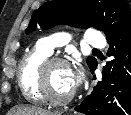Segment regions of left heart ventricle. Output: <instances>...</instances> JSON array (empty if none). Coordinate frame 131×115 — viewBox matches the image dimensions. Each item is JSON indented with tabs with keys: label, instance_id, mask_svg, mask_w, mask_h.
<instances>
[{
	"label": "left heart ventricle",
	"instance_id": "obj_1",
	"mask_svg": "<svg viewBox=\"0 0 131 115\" xmlns=\"http://www.w3.org/2000/svg\"><path fill=\"white\" fill-rule=\"evenodd\" d=\"M47 85L54 97L62 98L69 95L73 90L69 68L63 65L52 66L47 73Z\"/></svg>",
	"mask_w": 131,
	"mask_h": 115
}]
</instances>
